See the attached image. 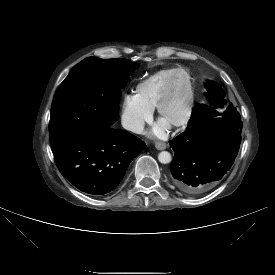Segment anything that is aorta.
<instances>
[{"label":"aorta","instance_id":"1","mask_svg":"<svg viewBox=\"0 0 275 275\" xmlns=\"http://www.w3.org/2000/svg\"><path fill=\"white\" fill-rule=\"evenodd\" d=\"M158 160L160 163L162 164H168L171 162L172 160V157H171V154L167 151H162L159 153L158 155Z\"/></svg>","mask_w":275,"mask_h":275}]
</instances>
